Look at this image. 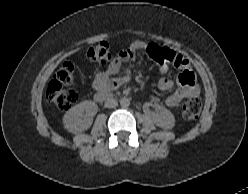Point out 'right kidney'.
<instances>
[{
    "label": "right kidney",
    "mask_w": 248,
    "mask_h": 194,
    "mask_svg": "<svg viewBox=\"0 0 248 194\" xmlns=\"http://www.w3.org/2000/svg\"><path fill=\"white\" fill-rule=\"evenodd\" d=\"M98 106L92 101H83L69 109L63 117L64 128L71 133H79L90 128Z\"/></svg>",
    "instance_id": "1"
}]
</instances>
